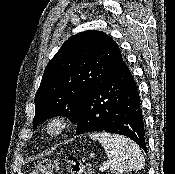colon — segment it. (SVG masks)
<instances>
[{
  "label": "colon",
  "instance_id": "obj_1",
  "mask_svg": "<svg viewBox=\"0 0 175 174\" xmlns=\"http://www.w3.org/2000/svg\"><path fill=\"white\" fill-rule=\"evenodd\" d=\"M65 165L72 174H92L90 166L82 163L76 156H68ZM59 168L60 163L44 160L37 162L28 174H55Z\"/></svg>",
  "mask_w": 175,
  "mask_h": 174
}]
</instances>
